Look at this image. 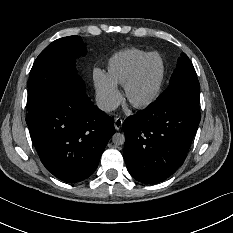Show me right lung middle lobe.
<instances>
[{
    "label": "right lung middle lobe",
    "mask_w": 233,
    "mask_h": 233,
    "mask_svg": "<svg viewBox=\"0 0 233 233\" xmlns=\"http://www.w3.org/2000/svg\"><path fill=\"white\" fill-rule=\"evenodd\" d=\"M85 54L86 44L75 35L55 40L40 53L30 72L28 112L55 97L68 81L83 82L75 62Z\"/></svg>",
    "instance_id": "right-lung-middle-lobe-1"
}]
</instances>
